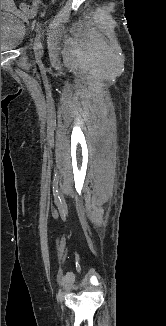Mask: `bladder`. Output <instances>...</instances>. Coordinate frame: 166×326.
Segmentation results:
<instances>
[{
    "mask_svg": "<svg viewBox=\"0 0 166 326\" xmlns=\"http://www.w3.org/2000/svg\"><path fill=\"white\" fill-rule=\"evenodd\" d=\"M26 32L24 20L10 12L1 11V52L17 48Z\"/></svg>",
    "mask_w": 166,
    "mask_h": 326,
    "instance_id": "1",
    "label": "bladder"
}]
</instances>
